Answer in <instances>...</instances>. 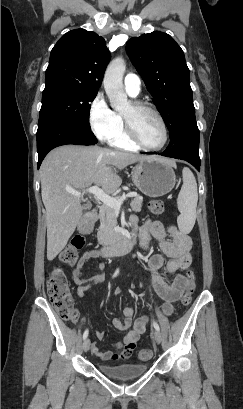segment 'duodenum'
I'll list each match as a JSON object with an SVG mask.
<instances>
[{"label": "duodenum", "instance_id": "1", "mask_svg": "<svg viewBox=\"0 0 243 409\" xmlns=\"http://www.w3.org/2000/svg\"><path fill=\"white\" fill-rule=\"evenodd\" d=\"M135 245L133 235H122L117 242L105 245L101 248L103 257H112L128 253Z\"/></svg>", "mask_w": 243, "mask_h": 409}]
</instances>
